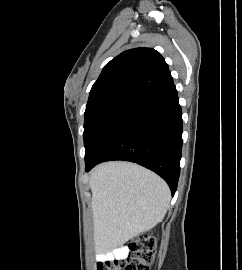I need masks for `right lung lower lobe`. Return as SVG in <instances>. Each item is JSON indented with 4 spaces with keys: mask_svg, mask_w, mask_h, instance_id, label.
Wrapping results in <instances>:
<instances>
[{
    "mask_svg": "<svg viewBox=\"0 0 242 270\" xmlns=\"http://www.w3.org/2000/svg\"><path fill=\"white\" fill-rule=\"evenodd\" d=\"M182 126V111L172 84L138 103L95 157L85 162V170L109 160L135 162L160 175L174 195L180 174Z\"/></svg>",
    "mask_w": 242,
    "mask_h": 270,
    "instance_id": "right-lung-lower-lobe-1",
    "label": "right lung lower lobe"
}]
</instances>
